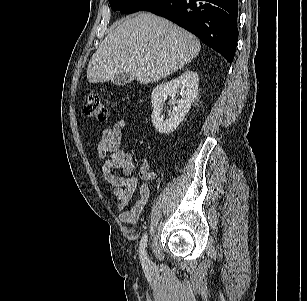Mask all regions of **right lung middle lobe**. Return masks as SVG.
Returning a JSON list of instances; mask_svg holds the SVG:
<instances>
[{
    "mask_svg": "<svg viewBox=\"0 0 307 301\" xmlns=\"http://www.w3.org/2000/svg\"><path fill=\"white\" fill-rule=\"evenodd\" d=\"M155 0H109L113 11L131 14L141 11L144 7L151 4Z\"/></svg>",
    "mask_w": 307,
    "mask_h": 301,
    "instance_id": "right-lung-middle-lobe-1",
    "label": "right lung middle lobe"
}]
</instances>
